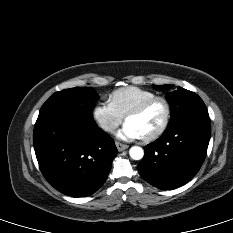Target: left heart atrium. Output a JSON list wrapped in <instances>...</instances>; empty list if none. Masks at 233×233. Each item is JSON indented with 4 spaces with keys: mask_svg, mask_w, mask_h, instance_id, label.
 I'll use <instances>...</instances> for the list:
<instances>
[{
    "mask_svg": "<svg viewBox=\"0 0 233 233\" xmlns=\"http://www.w3.org/2000/svg\"><path fill=\"white\" fill-rule=\"evenodd\" d=\"M117 137L122 140H135L142 138L140 132L131 124L125 123V125L117 133Z\"/></svg>",
    "mask_w": 233,
    "mask_h": 233,
    "instance_id": "39dd6f15",
    "label": "left heart atrium"
}]
</instances>
